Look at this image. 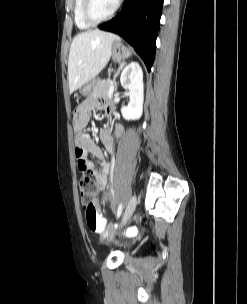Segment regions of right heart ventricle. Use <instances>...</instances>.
<instances>
[{
  "instance_id": "1",
  "label": "right heart ventricle",
  "mask_w": 247,
  "mask_h": 304,
  "mask_svg": "<svg viewBox=\"0 0 247 304\" xmlns=\"http://www.w3.org/2000/svg\"><path fill=\"white\" fill-rule=\"evenodd\" d=\"M82 5L83 0H75L74 2V20L75 24L80 29H88L91 27L88 23L85 22L82 15Z\"/></svg>"
}]
</instances>
